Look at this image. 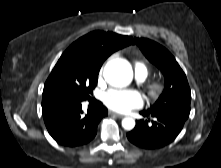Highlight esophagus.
<instances>
[{"label": "esophagus", "mask_w": 221, "mask_h": 168, "mask_svg": "<svg viewBox=\"0 0 221 168\" xmlns=\"http://www.w3.org/2000/svg\"><path fill=\"white\" fill-rule=\"evenodd\" d=\"M110 114H111L112 116H115V117H118V118H123V117H124V115L119 114V113H116V112H113V111H111Z\"/></svg>", "instance_id": "obj_1"}]
</instances>
